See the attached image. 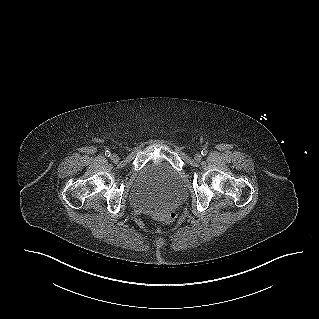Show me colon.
<instances>
[{
    "instance_id": "1",
    "label": "colon",
    "mask_w": 319,
    "mask_h": 319,
    "mask_svg": "<svg viewBox=\"0 0 319 319\" xmlns=\"http://www.w3.org/2000/svg\"><path fill=\"white\" fill-rule=\"evenodd\" d=\"M153 217L156 219H161L166 224H172L175 222L177 216L175 212H166V213L155 212L153 213Z\"/></svg>"
}]
</instances>
